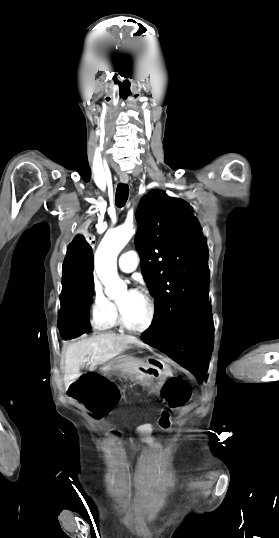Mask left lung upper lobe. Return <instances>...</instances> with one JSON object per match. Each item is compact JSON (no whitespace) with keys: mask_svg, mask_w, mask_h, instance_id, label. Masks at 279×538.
<instances>
[{"mask_svg":"<svg viewBox=\"0 0 279 538\" xmlns=\"http://www.w3.org/2000/svg\"><path fill=\"white\" fill-rule=\"evenodd\" d=\"M136 249L145 282L155 299L147 334L160 335L208 299V249L198 222L185 201L162 190L144 196L137 208Z\"/></svg>","mask_w":279,"mask_h":538,"instance_id":"5c2ea615","label":"left lung upper lobe"}]
</instances>
